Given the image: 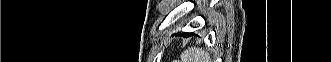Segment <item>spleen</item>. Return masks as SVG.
<instances>
[{"label": "spleen", "mask_w": 331, "mask_h": 62, "mask_svg": "<svg viewBox=\"0 0 331 62\" xmlns=\"http://www.w3.org/2000/svg\"><path fill=\"white\" fill-rule=\"evenodd\" d=\"M182 62H200L203 59V54L199 50L189 48L181 55Z\"/></svg>", "instance_id": "3e777b00"}]
</instances>
